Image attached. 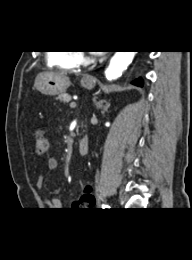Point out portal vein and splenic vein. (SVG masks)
Listing matches in <instances>:
<instances>
[{"label": "portal vein and splenic vein", "mask_w": 192, "mask_h": 260, "mask_svg": "<svg viewBox=\"0 0 192 260\" xmlns=\"http://www.w3.org/2000/svg\"><path fill=\"white\" fill-rule=\"evenodd\" d=\"M70 107H71V108H75V107H76V102L72 101V102L70 103Z\"/></svg>", "instance_id": "obj_1"}]
</instances>
